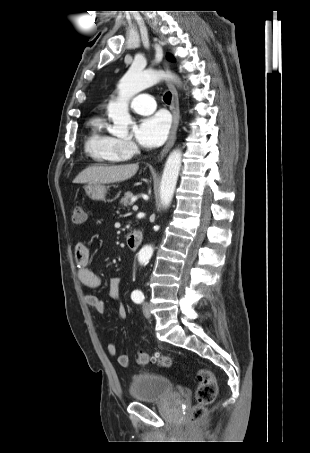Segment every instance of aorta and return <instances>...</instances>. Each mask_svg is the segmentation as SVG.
I'll return each instance as SVG.
<instances>
[{
  "mask_svg": "<svg viewBox=\"0 0 310 453\" xmlns=\"http://www.w3.org/2000/svg\"><path fill=\"white\" fill-rule=\"evenodd\" d=\"M163 78H170L179 82L173 74L157 70H141L131 66L118 84V97L107 107L108 116L113 121L111 133L116 136L128 134V126L132 123L129 114V100L142 90L156 84ZM182 162L180 149L173 150L167 158L160 183V199L164 208H167L173 199L174 191ZM153 254L151 246H144L139 254L138 261L146 264Z\"/></svg>",
  "mask_w": 310,
  "mask_h": 453,
  "instance_id": "762f6f07",
  "label": "aorta"
}]
</instances>
